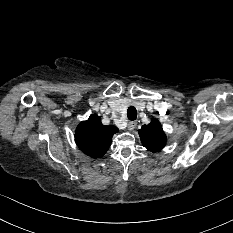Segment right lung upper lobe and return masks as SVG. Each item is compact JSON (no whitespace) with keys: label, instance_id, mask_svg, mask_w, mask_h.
I'll return each mask as SVG.
<instances>
[{"label":"right lung upper lobe","instance_id":"1","mask_svg":"<svg viewBox=\"0 0 233 233\" xmlns=\"http://www.w3.org/2000/svg\"><path fill=\"white\" fill-rule=\"evenodd\" d=\"M118 132L115 126H105L96 114L81 122L75 131L78 147L92 158L102 157L110 147L112 136Z\"/></svg>","mask_w":233,"mask_h":233}]
</instances>
